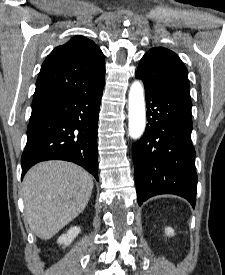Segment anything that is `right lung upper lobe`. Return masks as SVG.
<instances>
[{
    "label": "right lung upper lobe",
    "instance_id": "1",
    "mask_svg": "<svg viewBox=\"0 0 225 275\" xmlns=\"http://www.w3.org/2000/svg\"><path fill=\"white\" fill-rule=\"evenodd\" d=\"M104 76L102 51L93 41L74 36L43 62L32 104L64 94L91 92Z\"/></svg>",
    "mask_w": 225,
    "mask_h": 275
}]
</instances>
